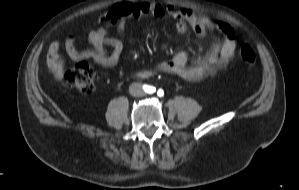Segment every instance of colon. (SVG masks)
<instances>
[{
    "label": "colon",
    "instance_id": "colon-1",
    "mask_svg": "<svg viewBox=\"0 0 299 190\" xmlns=\"http://www.w3.org/2000/svg\"><path fill=\"white\" fill-rule=\"evenodd\" d=\"M240 58L244 64L253 65L256 55L251 46L243 45L240 49ZM64 82L81 93L90 94L95 89V72L87 62L81 61L65 72Z\"/></svg>",
    "mask_w": 299,
    "mask_h": 190
}]
</instances>
